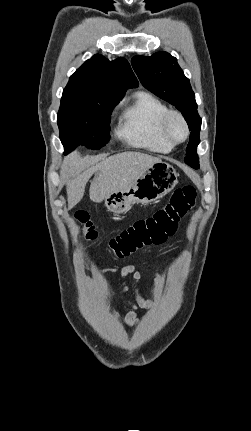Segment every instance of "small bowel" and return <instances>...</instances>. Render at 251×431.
<instances>
[{"mask_svg": "<svg viewBox=\"0 0 251 431\" xmlns=\"http://www.w3.org/2000/svg\"><path fill=\"white\" fill-rule=\"evenodd\" d=\"M118 273L121 280H122V292L127 293L129 291V285L127 280L131 279L134 284H138L141 281V274L137 270V268L134 265H123L118 267H110L103 270H100L98 274H114ZM154 277V290H153V297L152 298H145L143 297L139 290L137 288L133 289V299L128 301V312L123 316L120 317V315L116 312H113V316L120 320L125 326L132 327L135 326L139 318L137 316V310L139 309H152L155 307L158 298L161 293V281L159 274L154 271L153 272Z\"/></svg>", "mask_w": 251, "mask_h": 431, "instance_id": "obj_1", "label": "small bowel"}]
</instances>
